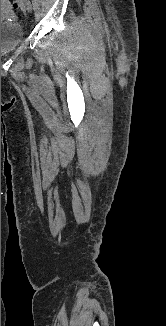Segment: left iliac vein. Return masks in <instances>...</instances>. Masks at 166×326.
Here are the masks:
<instances>
[{"label": "left iliac vein", "instance_id": "1", "mask_svg": "<svg viewBox=\"0 0 166 326\" xmlns=\"http://www.w3.org/2000/svg\"><path fill=\"white\" fill-rule=\"evenodd\" d=\"M24 1H25V10L28 13H31L32 12V4H31V1L30 0H24Z\"/></svg>", "mask_w": 166, "mask_h": 326}]
</instances>
